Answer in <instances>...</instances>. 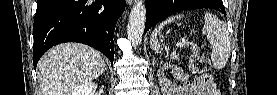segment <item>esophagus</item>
<instances>
[{"label": "esophagus", "mask_w": 277, "mask_h": 95, "mask_svg": "<svg viewBox=\"0 0 277 95\" xmlns=\"http://www.w3.org/2000/svg\"><path fill=\"white\" fill-rule=\"evenodd\" d=\"M126 2H127L128 5H131L133 1L132 0H127Z\"/></svg>", "instance_id": "esophagus-1"}]
</instances>
